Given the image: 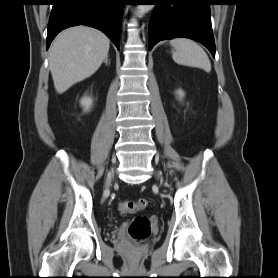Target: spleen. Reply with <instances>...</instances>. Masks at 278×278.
<instances>
[{"instance_id": "obj_1", "label": "spleen", "mask_w": 278, "mask_h": 278, "mask_svg": "<svg viewBox=\"0 0 278 278\" xmlns=\"http://www.w3.org/2000/svg\"><path fill=\"white\" fill-rule=\"evenodd\" d=\"M173 51V60L180 64L198 67L206 72L211 71V63L208 55L195 41L188 38H176L170 41Z\"/></svg>"}]
</instances>
